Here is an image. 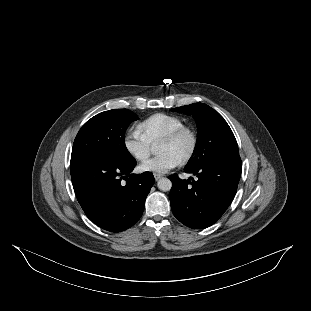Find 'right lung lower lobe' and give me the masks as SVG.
<instances>
[{
  "label": "right lung lower lobe",
  "instance_id": "98d812e1",
  "mask_svg": "<svg viewBox=\"0 0 311 311\" xmlns=\"http://www.w3.org/2000/svg\"><path fill=\"white\" fill-rule=\"evenodd\" d=\"M135 165V159L126 163L102 156L70 163L77 200L87 217L102 229L124 231L142 216L155 179L151 172L130 174ZM123 178L125 185L121 184Z\"/></svg>",
  "mask_w": 311,
  "mask_h": 311
}]
</instances>
